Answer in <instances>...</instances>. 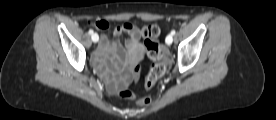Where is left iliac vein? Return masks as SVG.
Listing matches in <instances>:
<instances>
[{
	"label": "left iliac vein",
	"mask_w": 276,
	"mask_h": 120,
	"mask_svg": "<svg viewBox=\"0 0 276 120\" xmlns=\"http://www.w3.org/2000/svg\"><path fill=\"white\" fill-rule=\"evenodd\" d=\"M166 43L168 44V45H171L172 44V42H173V37H172V35L170 34V35H168L167 37H166Z\"/></svg>",
	"instance_id": "1"
}]
</instances>
